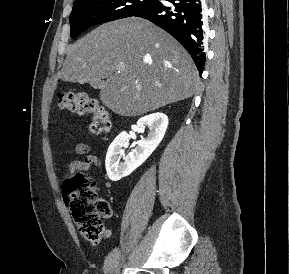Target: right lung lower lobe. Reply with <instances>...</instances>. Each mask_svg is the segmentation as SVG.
Returning <instances> with one entry per match:
<instances>
[{"label":"right lung lower lobe","instance_id":"obj_1","mask_svg":"<svg viewBox=\"0 0 289 274\" xmlns=\"http://www.w3.org/2000/svg\"><path fill=\"white\" fill-rule=\"evenodd\" d=\"M170 6L155 2L146 10L135 15L145 18L176 38L191 55L200 74L203 72L206 54L205 17L202 0H163Z\"/></svg>","mask_w":289,"mask_h":274}]
</instances>
